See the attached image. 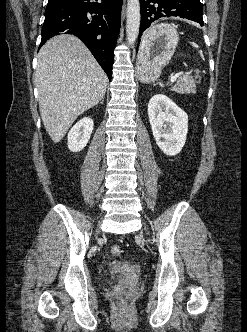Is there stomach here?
<instances>
[{
    "mask_svg": "<svg viewBox=\"0 0 247 332\" xmlns=\"http://www.w3.org/2000/svg\"><path fill=\"white\" fill-rule=\"evenodd\" d=\"M179 41L174 25L161 23L152 26L142 37L138 51V75L141 81L156 80L170 62Z\"/></svg>",
    "mask_w": 247,
    "mask_h": 332,
    "instance_id": "stomach-1",
    "label": "stomach"
}]
</instances>
